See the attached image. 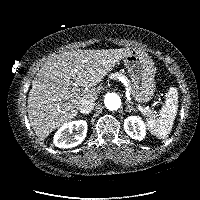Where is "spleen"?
<instances>
[{
  "label": "spleen",
  "instance_id": "spleen-1",
  "mask_svg": "<svg viewBox=\"0 0 200 200\" xmlns=\"http://www.w3.org/2000/svg\"><path fill=\"white\" fill-rule=\"evenodd\" d=\"M178 110V92L171 87L167 94L165 104L162 106L159 117L152 116L147 119L149 131L159 139H166L171 130Z\"/></svg>",
  "mask_w": 200,
  "mask_h": 200
}]
</instances>
